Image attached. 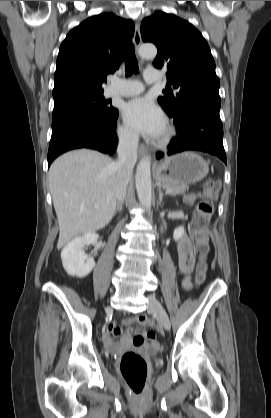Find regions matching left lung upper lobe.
Returning <instances> with one entry per match:
<instances>
[{
  "mask_svg": "<svg viewBox=\"0 0 271 418\" xmlns=\"http://www.w3.org/2000/svg\"><path fill=\"white\" fill-rule=\"evenodd\" d=\"M144 42L158 48L154 66L167 67V81L179 92L169 89L158 102L170 117L196 107L220 109V82L215 63L202 34L189 22L161 11L143 20Z\"/></svg>",
  "mask_w": 271,
  "mask_h": 418,
  "instance_id": "5c2ea615",
  "label": "left lung upper lobe"
}]
</instances>
